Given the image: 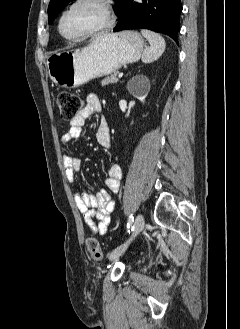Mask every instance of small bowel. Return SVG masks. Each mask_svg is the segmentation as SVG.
<instances>
[{
    "instance_id": "c3829d8e",
    "label": "small bowel",
    "mask_w": 240,
    "mask_h": 329,
    "mask_svg": "<svg viewBox=\"0 0 240 329\" xmlns=\"http://www.w3.org/2000/svg\"><path fill=\"white\" fill-rule=\"evenodd\" d=\"M101 109L102 103L98 95L94 93L89 94L85 106L77 116L71 120L69 130L62 135L61 143L67 146L73 140L80 138L86 121L94 114L100 113ZM96 139L101 147L110 148V129L104 118H101L99 121ZM63 164L67 179L73 182L77 172L80 170V159L71 153H66L63 158ZM121 176L122 172L120 166L111 164L104 179V188L99 189L95 193H76L75 202L77 208L82 213L85 223L94 233L104 235L107 232L111 222V215L115 210V203L110 198L109 192L116 193L119 191ZM95 219H97L98 222H95Z\"/></svg>"
}]
</instances>
